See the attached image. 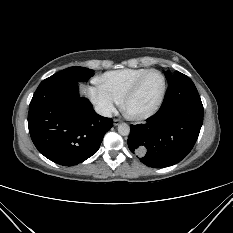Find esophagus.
<instances>
[{
	"mask_svg": "<svg viewBox=\"0 0 233 233\" xmlns=\"http://www.w3.org/2000/svg\"><path fill=\"white\" fill-rule=\"evenodd\" d=\"M113 123L115 126L119 125L121 123V121L119 119H114Z\"/></svg>",
	"mask_w": 233,
	"mask_h": 233,
	"instance_id": "obj_1",
	"label": "esophagus"
}]
</instances>
